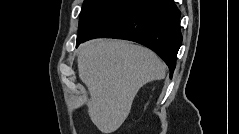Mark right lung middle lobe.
<instances>
[{
	"instance_id": "right-lung-middle-lobe-1",
	"label": "right lung middle lobe",
	"mask_w": 239,
	"mask_h": 134,
	"mask_svg": "<svg viewBox=\"0 0 239 134\" xmlns=\"http://www.w3.org/2000/svg\"><path fill=\"white\" fill-rule=\"evenodd\" d=\"M123 0H84L77 38L84 37L108 12Z\"/></svg>"
}]
</instances>
